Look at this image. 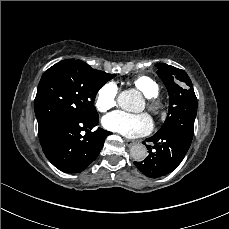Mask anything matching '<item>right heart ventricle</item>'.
<instances>
[{
  "label": "right heart ventricle",
  "mask_w": 229,
  "mask_h": 229,
  "mask_svg": "<svg viewBox=\"0 0 229 229\" xmlns=\"http://www.w3.org/2000/svg\"><path fill=\"white\" fill-rule=\"evenodd\" d=\"M132 84L146 97L157 96L159 93L158 83L149 76L139 75L132 80Z\"/></svg>",
  "instance_id": "1"
}]
</instances>
